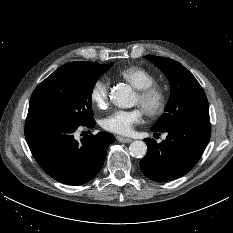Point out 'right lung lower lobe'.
I'll return each mask as SVG.
<instances>
[{"instance_id":"obj_1","label":"right lung lower lobe","mask_w":233,"mask_h":233,"mask_svg":"<svg viewBox=\"0 0 233 233\" xmlns=\"http://www.w3.org/2000/svg\"><path fill=\"white\" fill-rule=\"evenodd\" d=\"M79 126L49 116L26 119L25 137L35 160L49 176L67 185H82L94 178L103 166L108 146L115 141L107 132L77 141L74 132Z\"/></svg>"}]
</instances>
